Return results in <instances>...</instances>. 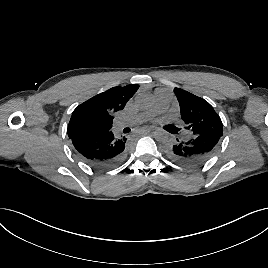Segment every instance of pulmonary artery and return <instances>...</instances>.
<instances>
[{"instance_id":"1","label":"pulmonary artery","mask_w":268,"mask_h":268,"mask_svg":"<svg viewBox=\"0 0 268 268\" xmlns=\"http://www.w3.org/2000/svg\"><path fill=\"white\" fill-rule=\"evenodd\" d=\"M171 99L172 95L170 93L163 90H157L153 96L152 106L148 110L139 113L134 118L124 117L118 122L117 127H123L135 123H142L147 120H150L156 114L165 111Z\"/></svg>"}]
</instances>
